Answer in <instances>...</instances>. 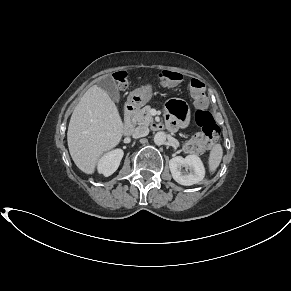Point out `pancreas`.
<instances>
[{"label":"pancreas","instance_id":"obj_1","mask_svg":"<svg viewBox=\"0 0 291 291\" xmlns=\"http://www.w3.org/2000/svg\"><path fill=\"white\" fill-rule=\"evenodd\" d=\"M150 109L151 107L147 105L137 111L133 117V122L139 125H149L153 121V118L150 115Z\"/></svg>","mask_w":291,"mask_h":291}]
</instances>
